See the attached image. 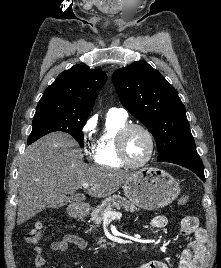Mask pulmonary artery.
I'll list each match as a JSON object with an SVG mask.
<instances>
[{
  "instance_id": "pulmonary-artery-1",
  "label": "pulmonary artery",
  "mask_w": 221,
  "mask_h": 268,
  "mask_svg": "<svg viewBox=\"0 0 221 268\" xmlns=\"http://www.w3.org/2000/svg\"><path fill=\"white\" fill-rule=\"evenodd\" d=\"M109 115H116L122 118H126L127 117V111L125 109L122 108H110L108 111Z\"/></svg>"
}]
</instances>
